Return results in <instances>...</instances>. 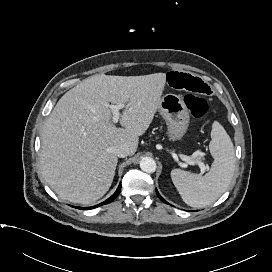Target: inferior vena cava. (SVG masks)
Segmentation results:
<instances>
[{
    "label": "inferior vena cava",
    "instance_id": "602c4592",
    "mask_svg": "<svg viewBox=\"0 0 272 272\" xmlns=\"http://www.w3.org/2000/svg\"><path fill=\"white\" fill-rule=\"evenodd\" d=\"M112 152L116 156H118L120 158H123V157H126V156L129 155V148H128V146L126 144L121 143V144H118V145L114 146L112 148Z\"/></svg>",
    "mask_w": 272,
    "mask_h": 272
}]
</instances>
